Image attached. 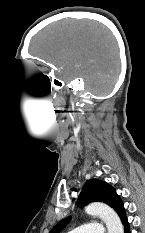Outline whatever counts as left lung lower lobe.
Segmentation results:
<instances>
[{"label":"left lung lower lobe","instance_id":"obj_1","mask_svg":"<svg viewBox=\"0 0 145 233\" xmlns=\"http://www.w3.org/2000/svg\"><path fill=\"white\" fill-rule=\"evenodd\" d=\"M124 232L125 233H130V228H129V223H128V220H126L124 223Z\"/></svg>","mask_w":145,"mask_h":233}]
</instances>
